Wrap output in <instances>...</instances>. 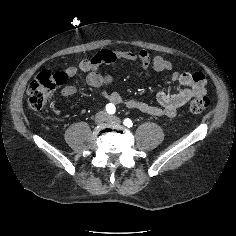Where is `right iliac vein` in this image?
Wrapping results in <instances>:
<instances>
[{
	"label": "right iliac vein",
	"instance_id": "obj_1",
	"mask_svg": "<svg viewBox=\"0 0 236 236\" xmlns=\"http://www.w3.org/2000/svg\"><path fill=\"white\" fill-rule=\"evenodd\" d=\"M107 118V115L104 111H101L95 115V122L97 124L103 123Z\"/></svg>",
	"mask_w": 236,
	"mask_h": 236
}]
</instances>
